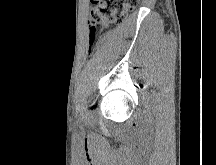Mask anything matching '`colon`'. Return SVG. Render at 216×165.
<instances>
[{
	"label": "colon",
	"mask_w": 216,
	"mask_h": 165,
	"mask_svg": "<svg viewBox=\"0 0 216 165\" xmlns=\"http://www.w3.org/2000/svg\"><path fill=\"white\" fill-rule=\"evenodd\" d=\"M94 9L90 16V42L93 43L100 29L121 22L134 9L139 0H91Z\"/></svg>",
	"instance_id": "colon-1"
}]
</instances>
